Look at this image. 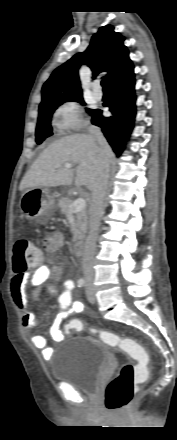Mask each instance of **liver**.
<instances>
[{
	"label": "liver",
	"mask_w": 177,
	"mask_h": 440,
	"mask_svg": "<svg viewBox=\"0 0 177 440\" xmlns=\"http://www.w3.org/2000/svg\"><path fill=\"white\" fill-rule=\"evenodd\" d=\"M103 157L108 165L115 155L103 140ZM66 163L77 164L76 169H66ZM99 152L97 141L92 135L76 134L61 138L49 145L34 161L20 183V190L37 187L86 186L93 190L98 177Z\"/></svg>",
	"instance_id": "6515ba94"
}]
</instances>
